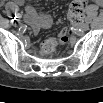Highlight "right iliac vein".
I'll return each mask as SVG.
<instances>
[{
    "mask_svg": "<svg viewBox=\"0 0 103 103\" xmlns=\"http://www.w3.org/2000/svg\"><path fill=\"white\" fill-rule=\"evenodd\" d=\"M20 24H21L20 20H15V21L13 22V25H14L15 27L19 26Z\"/></svg>",
    "mask_w": 103,
    "mask_h": 103,
    "instance_id": "right-iliac-vein-1",
    "label": "right iliac vein"
}]
</instances>
